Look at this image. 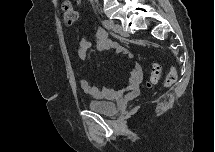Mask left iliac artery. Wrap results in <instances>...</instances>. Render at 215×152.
Segmentation results:
<instances>
[{"instance_id": "obj_1", "label": "left iliac artery", "mask_w": 215, "mask_h": 152, "mask_svg": "<svg viewBox=\"0 0 215 152\" xmlns=\"http://www.w3.org/2000/svg\"><path fill=\"white\" fill-rule=\"evenodd\" d=\"M102 23L108 29L112 27V22L110 20H103Z\"/></svg>"}]
</instances>
